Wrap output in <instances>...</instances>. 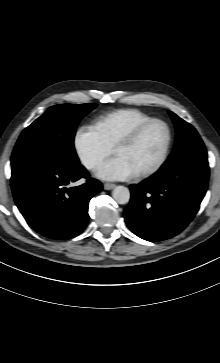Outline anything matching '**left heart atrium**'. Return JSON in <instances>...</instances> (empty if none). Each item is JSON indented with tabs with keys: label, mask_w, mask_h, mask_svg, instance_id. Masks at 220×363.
Returning <instances> with one entry per match:
<instances>
[{
	"label": "left heart atrium",
	"mask_w": 220,
	"mask_h": 363,
	"mask_svg": "<svg viewBox=\"0 0 220 363\" xmlns=\"http://www.w3.org/2000/svg\"><path fill=\"white\" fill-rule=\"evenodd\" d=\"M135 174L128 162L118 155L102 163L96 170V176L104 180H125Z\"/></svg>",
	"instance_id": "obj_1"
}]
</instances>
